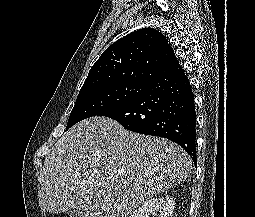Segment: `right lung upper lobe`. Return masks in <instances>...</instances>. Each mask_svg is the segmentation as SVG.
Masks as SVG:
<instances>
[{
  "mask_svg": "<svg viewBox=\"0 0 255 217\" xmlns=\"http://www.w3.org/2000/svg\"><path fill=\"white\" fill-rule=\"evenodd\" d=\"M180 68L166 37L156 29L143 28L113 43L102 53L80 92L111 84L148 85Z\"/></svg>",
  "mask_w": 255,
  "mask_h": 217,
  "instance_id": "1",
  "label": "right lung upper lobe"
}]
</instances>
